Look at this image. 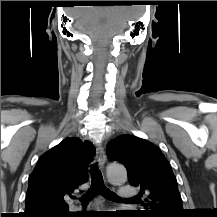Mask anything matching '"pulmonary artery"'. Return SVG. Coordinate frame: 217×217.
<instances>
[{"mask_svg":"<svg viewBox=\"0 0 217 217\" xmlns=\"http://www.w3.org/2000/svg\"><path fill=\"white\" fill-rule=\"evenodd\" d=\"M136 195V189L132 186H122L119 188V196L123 199H129Z\"/></svg>","mask_w":217,"mask_h":217,"instance_id":"e3ab8cb5","label":"pulmonary artery"}]
</instances>
